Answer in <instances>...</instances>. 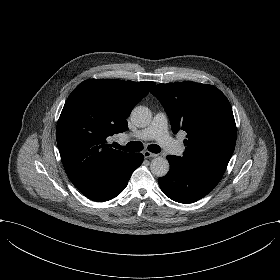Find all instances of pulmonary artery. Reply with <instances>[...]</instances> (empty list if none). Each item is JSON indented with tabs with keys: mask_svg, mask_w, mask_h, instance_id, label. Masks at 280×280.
Returning a JSON list of instances; mask_svg holds the SVG:
<instances>
[{
	"mask_svg": "<svg viewBox=\"0 0 280 280\" xmlns=\"http://www.w3.org/2000/svg\"><path fill=\"white\" fill-rule=\"evenodd\" d=\"M133 136L142 140H157L168 153L177 156H182L185 150L179 141L169 135L168 118L162 112L156 113L150 125L137 131Z\"/></svg>",
	"mask_w": 280,
	"mask_h": 280,
	"instance_id": "obj_1",
	"label": "pulmonary artery"
}]
</instances>
